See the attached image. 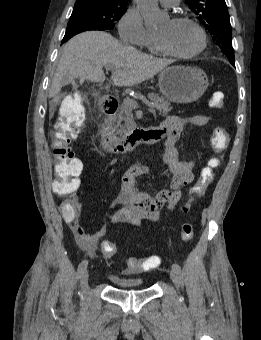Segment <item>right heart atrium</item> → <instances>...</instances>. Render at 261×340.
I'll return each mask as SVG.
<instances>
[{"label":"right heart atrium","mask_w":261,"mask_h":340,"mask_svg":"<svg viewBox=\"0 0 261 340\" xmlns=\"http://www.w3.org/2000/svg\"><path fill=\"white\" fill-rule=\"evenodd\" d=\"M121 40L135 46H143L152 36L144 24L141 13L134 7L129 8L118 22Z\"/></svg>","instance_id":"right-heart-atrium-1"}]
</instances>
